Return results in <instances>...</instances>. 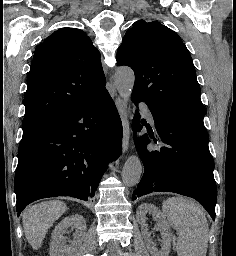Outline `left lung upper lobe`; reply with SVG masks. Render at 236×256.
I'll return each instance as SVG.
<instances>
[{
    "label": "left lung upper lobe",
    "mask_w": 236,
    "mask_h": 256,
    "mask_svg": "<svg viewBox=\"0 0 236 256\" xmlns=\"http://www.w3.org/2000/svg\"><path fill=\"white\" fill-rule=\"evenodd\" d=\"M117 65H127L135 73L133 98L204 126L206 110L194 64L175 32L157 21H136L117 51Z\"/></svg>",
    "instance_id": "5c2ea615"
}]
</instances>
